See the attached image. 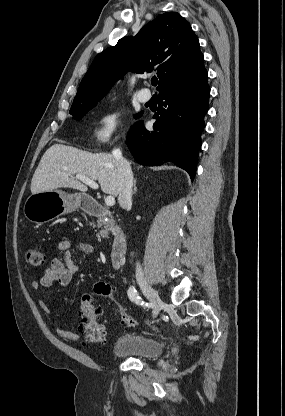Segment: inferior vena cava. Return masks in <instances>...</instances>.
Wrapping results in <instances>:
<instances>
[{
    "label": "inferior vena cava",
    "mask_w": 285,
    "mask_h": 416,
    "mask_svg": "<svg viewBox=\"0 0 285 416\" xmlns=\"http://www.w3.org/2000/svg\"><path fill=\"white\" fill-rule=\"evenodd\" d=\"M112 156L116 160L118 172H120L119 204L121 208H128L132 204L133 174L129 162L124 160L121 150L114 148ZM140 264H136V274H141Z\"/></svg>",
    "instance_id": "602c4592"
}]
</instances>
